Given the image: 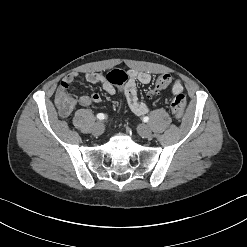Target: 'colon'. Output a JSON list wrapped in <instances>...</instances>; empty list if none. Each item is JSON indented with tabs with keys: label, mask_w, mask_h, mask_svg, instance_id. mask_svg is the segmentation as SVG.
I'll return each instance as SVG.
<instances>
[{
	"label": "colon",
	"mask_w": 247,
	"mask_h": 247,
	"mask_svg": "<svg viewBox=\"0 0 247 247\" xmlns=\"http://www.w3.org/2000/svg\"><path fill=\"white\" fill-rule=\"evenodd\" d=\"M107 80L115 85L124 87L128 82V75L120 69H113L106 75ZM170 76L169 75H161L156 80V83L151 91V94H155L163 89H165L170 83ZM129 96L131 93L129 92ZM56 102L59 107V110L62 112L68 111L73 104V97L68 90H61L57 93ZM171 110L175 117L180 120L184 115L185 108H186V99L185 96L180 93L174 96L171 101Z\"/></svg>",
	"instance_id": "1"
}]
</instances>
